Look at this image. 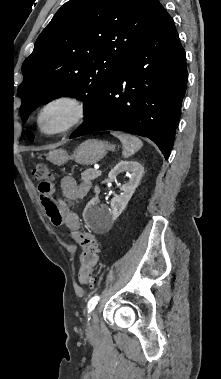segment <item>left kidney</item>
<instances>
[{
	"mask_svg": "<svg viewBox=\"0 0 221 379\" xmlns=\"http://www.w3.org/2000/svg\"><path fill=\"white\" fill-rule=\"evenodd\" d=\"M130 172V180L122 185L121 196L111 200V208L96 206V201L91 200L83 211L85 223L94 230H102L110 227L126 208L135 189L137 188L143 172V166L135 161H121L108 174L110 180H116L121 172Z\"/></svg>",
	"mask_w": 221,
	"mask_h": 379,
	"instance_id": "1",
	"label": "left kidney"
}]
</instances>
